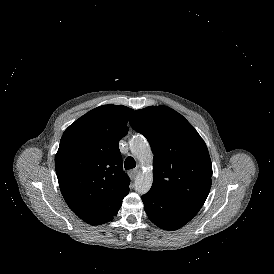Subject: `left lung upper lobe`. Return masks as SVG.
<instances>
[{
	"instance_id": "5c2ea615",
	"label": "left lung upper lobe",
	"mask_w": 274,
	"mask_h": 274,
	"mask_svg": "<svg viewBox=\"0 0 274 274\" xmlns=\"http://www.w3.org/2000/svg\"><path fill=\"white\" fill-rule=\"evenodd\" d=\"M130 125L147 138L154 154L151 190L201 208L210 191L212 164L198 132L166 106L136 110Z\"/></svg>"
}]
</instances>
